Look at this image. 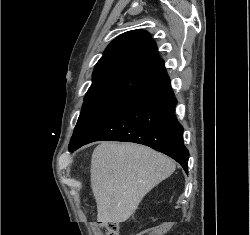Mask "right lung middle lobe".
Returning <instances> with one entry per match:
<instances>
[{
  "label": "right lung middle lobe",
  "mask_w": 250,
  "mask_h": 235,
  "mask_svg": "<svg viewBox=\"0 0 250 235\" xmlns=\"http://www.w3.org/2000/svg\"><path fill=\"white\" fill-rule=\"evenodd\" d=\"M131 95H97L84 98L82 111L70 144L78 142L89 130L125 103Z\"/></svg>",
  "instance_id": "1"
}]
</instances>
